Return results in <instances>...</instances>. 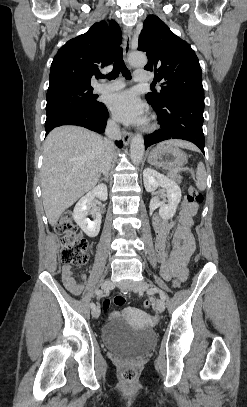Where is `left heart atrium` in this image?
Wrapping results in <instances>:
<instances>
[{
	"label": "left heart atrium",
	"mask_w": 247,
	"mask_h": 407,
	"mask_svg": "<svg viewBox=\"0 0 247 407\" xmlns=\"http://www.w3.org/2000/svg\"><path fill=\"white\" fill-rule=\"evenodd\" d=\"M114 117L127 124H142L146 120V107L132 91H122L107 100Z\"/></svg>",
	"instance_id": "left-heart-atrium-1"
}]
</instances>
